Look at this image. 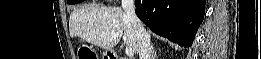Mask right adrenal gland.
Segmentation results:
<instances>
[{"label":"right adrenal gland","instance_id":"1","mask_svg":"<svg viewBox=\"0 0 261 59\" xmlns=\"http://www.w3.org/2000/svg\"><path fill=\"white\" fill-rule=\"evenodd\" d=\"M156 58V51L154 50V47L152 45V59Z\"/></svg>","mask_w":261,"mask_h":59}]
</instances>
